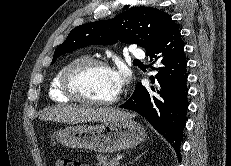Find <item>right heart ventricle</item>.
<instances>
[{"mask_svg": "<svg viewBox=\"0 0 231 166\" xmlns=\"http://www.w3.org/2000/svg\"><path fill=\"white\" fill-rule=\"evenodd\" d=\"M84 59V57H76L65 63L54 75L49 88V97L52 101L55 102H67L70 100L69 97H67L61 89V78L64 73V71L75 61Z\"/></svg>", "mask_w": 231, "mask_h": 166, "instance_id": "right-heart-ventricle-1", "label": "right heart ventricle"}]
</instances>
